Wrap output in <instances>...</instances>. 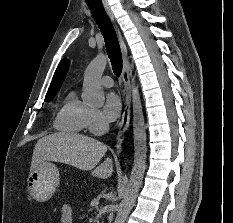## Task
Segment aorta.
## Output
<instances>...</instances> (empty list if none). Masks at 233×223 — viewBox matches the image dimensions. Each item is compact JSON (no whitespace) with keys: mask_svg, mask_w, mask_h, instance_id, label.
<instances>
[{"mask_svg":"<svg viewBox=\"0 0 233 223\" xmlns=\"http://www.w3.org/2000/svg\"><path fill=\"white\" fill-rule=\"evenodd\" d=\"M107 60L95 58L85 70L83 80V94L81 96L84 104H89L92 108L104 106L105 96L101 88L102 74L106 68ZM131 94L133 104V137H134V163L129 179V183L124 191L122 203L120 205V215H127L129 209L135 203L138 191L142 185L146 165V131L144 127V115L139 96V90L133 84Z\"/></svg>","mask_w":233,"mask_h":223,"instance_id":"obj_1","label":"aorta"}]
</instances>
